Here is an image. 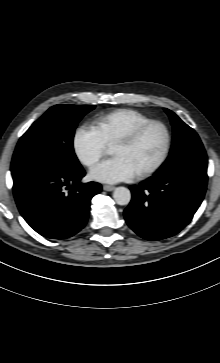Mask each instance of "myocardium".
I'll return each mask as SVG.
<instances>
[{"label": "myocardium", "instance_id": "myocardium-1", "mask_svg": "<svg viewBox=\"0 0 220 363\" xmlns=\"http://www.w3.org/2000/svg\"><path fill=\"white\" fill-rule=\"evenodd\" d=\"M153 126L161 128L162 131L164 132L165 135L164 146L157 161L150 167L137 173L136 176L138 178H145L156 173L167 161L172 144V135L170 129L164 122L160 120H150L135 127L131 131L125 133L114 142V145H131L134 142H136L147 129Z\"/></svg>", "mask_w": 220, "mask_h": 363}]
</instances>
